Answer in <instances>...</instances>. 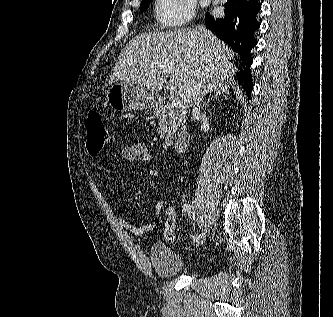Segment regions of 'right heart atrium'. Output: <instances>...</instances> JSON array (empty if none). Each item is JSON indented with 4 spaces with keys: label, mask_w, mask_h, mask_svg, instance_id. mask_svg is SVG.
I'll return each mask as SVG.
<instances>
[{
    "label": "right heart atrium",
    "mask_w": 333,
    "mask_h": 317,
    "mask_svg": "<svg viewBox=\"0 0 333 317\" xmlns=\"http://www.w3.org/2000/svg\"><path fill=\"white\" fill-rule=\"evenodd\" d=\"M154 16L163 29H176L189 24L195 17L194 0H155Z\"/></svg>",
    "instance_id": "1"
}]
</instances>
